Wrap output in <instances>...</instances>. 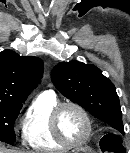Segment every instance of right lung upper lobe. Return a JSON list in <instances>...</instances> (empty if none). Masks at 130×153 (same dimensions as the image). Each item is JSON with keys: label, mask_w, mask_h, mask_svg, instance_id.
Listing matches in <instances>:
<instances>
[{"label": "right lung upper lobe", "mask_w": 130, "mask_h": 153, "mask_svg": "<svg viewBox=\"0 0 130 153\" xmlns=\"http://www.w3.org/2000/svg\"><path fill=\"white\" fill-rule=\"evenodd\" d=\"M43 62L11 50L0 52V102L22 104L40 82Z\"/></svg>", "instance_id": "1"}]
</instances>
